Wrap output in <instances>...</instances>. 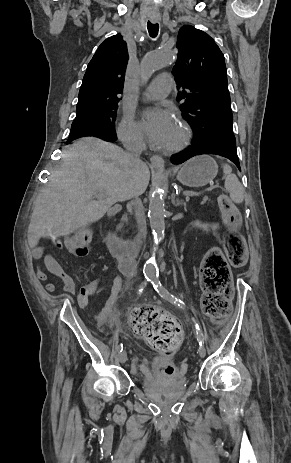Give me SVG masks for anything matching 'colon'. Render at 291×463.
Here are the masks:
<instances>
[{"label": "colon", "instance_id": "1", "mask_svg": "<svg viewBox=\"0 0 291 463\" xmlns=\"http://www.w3.org/2000/svg\"><path fill=\"white\" fill-rule=\"evenodd\" d=\"M223 222L230 228L224 239L226 256L219 248L210 249L201 266L202 308L214 322H221L231 311L233 294L232 277L229 263L241 266L245 263V244L241 235L235 230L241 221L240 213L226 195L218 200ZM92 238V232L79 227L70 237V249L81 250ZM89 292L90 289L87 288ZM134 333L144 338L154 349L169 355L177 349L182 339V329L173 318L167 317L153 308L141 307L132 316ZM160 372L172 375L174 369L165 366Z\"/></svg>", "mask_w": 291, "mask_h": 463}]
</instances>
